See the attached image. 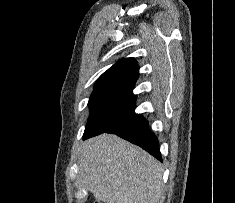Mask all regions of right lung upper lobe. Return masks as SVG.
<instances>
[{"label": "right lung upper lobe", "mask_w": 235, "mask_h": 203, "mask_svg": "<svg viewBox=\"0 0 235 203\" xmlns=\"http://www.w3.org/2000/svg\"><path fill=\"white\" fill-rule=\"evenodd\" d=\"M139 67L134 58H124L105 71L95 82V87L107 85H135Z\"/></svg>", "instance_id": "cb5924a9"}]
</instances>
